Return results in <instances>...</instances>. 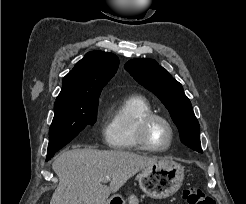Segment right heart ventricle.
<instances>
[{
    "label": "right heart ventricle",
    "mask_w": 246,
    "mask_h": 204,
    "mask_svg": "<svg viewBox=\"0 0 246 204\" xmlns=\"http://www.w3.org/2000/svg\"><path fill=\"white\" fill-rule=\"evenodd\" d=\"M150 101L141 95H129L117 101L108 111L104 126V140L115 150H141L137 129L146 115L153 113Z\"/></svg>",
    "instance_id": "1"
}]
</instances>
